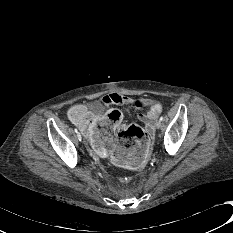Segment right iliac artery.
<instances>
[{
  "mask_svg": "<svg viewBox=\"0 0 233 233\" xmlns=\"http://www.w3.org/2000/svg\"><path fill=\"white\" fill-rule=\"evenodd\" d=\"M75 132H76V133H78V130H77V129H75Z\"/></svg>",
  "mask_w": 233,
  "mask_h": 233,
  "instance_id": "obj_1",
  "label": "right iliac artery"
}]
</instances>
